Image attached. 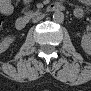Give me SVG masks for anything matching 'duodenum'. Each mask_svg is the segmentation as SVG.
<instances>
[{
  "label": "duodenum",
  "mask_w": 91,
  "mask_h": 91,
  "mask_svg": "<svg viewBox=\"0 0 91 91\" xmlns=\"http://www.w3.org/2000/svg\"><path fill=\"white\" fill-rule=\"evenodd\" d=\"M47 9L49 12H60L62 11V6L58 3H54L50 4ZM28 23L29 19L27 17L21 16L16 19L15 27L17 30H22L28 25Z\"/></svg>",
  "instance_id": "duodenum-1"
}]
</instances>
